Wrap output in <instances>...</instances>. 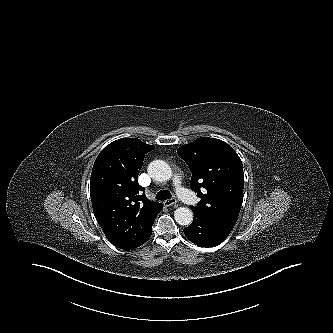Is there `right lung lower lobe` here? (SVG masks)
Listing matches in <instances>:
<instances>
[{"instance_id":"obj_1","label":"right lung lower lobe","mask_w":333,"mask_h":333,"mask_svg":"<svg viewBox=\"0 0 333 333\" xmlns=\"http://www.w3.org/2000/svg\"><path fill=\"white\" fill-rule=\"evenodd\" d=\"M152 232V231H151ZM151 233L148 235V237L145 239L144 243L149 239Z\"/></svg>"}]
</instances>
